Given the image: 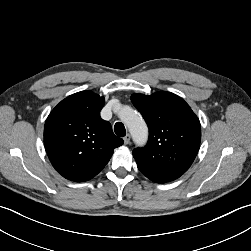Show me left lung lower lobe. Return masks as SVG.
Returning a JSON list of instances; mask_svg holds the SVG:
<instances>
[{
    "instance_id": "obj_1",
    "label": "left lung lower lobe",
    "mask_w": 251,
    "mask_h": 251,
    "mask_svg": "<svg viewBox=\"0 0 251 251\" xmlns=\"http://www.w3.org/2000/svg\"><path fill=\"white\" fill-rule=\"evenodd\" d=\"M139 170L150 180L157 183H166L173 181L180 177V175L173 173L155 172L144 168H139Z\"/></svg>"
}]
</instances>
